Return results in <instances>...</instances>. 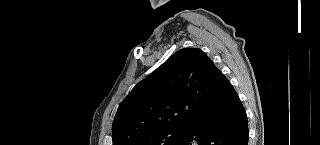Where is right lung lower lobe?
<instances>
[{
	"label": "right lung lower lobe",
	"instance_id": "98d812e1",
	"mask_svg": "<svg viewBox=\"0 0 320 145\" xmlns=\"http://www.w3.org/2000/svg\"><path fill=\"white\" fill-rule=\"evenodd\" d=\"M218 101L203 118L185 126L174 145H247L249 130L245 109L229 80L217 90Z\"/></svg>",
	"mask_w": 320,
	"mask_h": 145
}]
</instances>
